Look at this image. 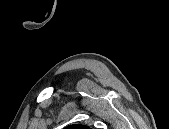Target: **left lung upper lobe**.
<instances>
[{
  "label": "left lung upper lobe",
  "mask_w": 169,
  "mask_h": 129,
  "mask_svg": "<svg viewBox=\"0 0 169 129\" xmlns=\"http://www.w3.org/2000/svg\"><path fill=\"white\" fill-rule=\"evenodd\" d=\"M84 128H89V127L82 126V125H71L67 127V129H84Z\"/></svg>",
  "instance_id": "left-lung-upper-lobe-1"
}]
</instances>
